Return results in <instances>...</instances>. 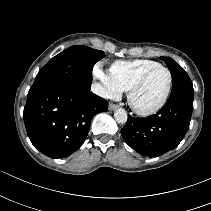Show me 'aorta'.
I'll list each match as a JSON object with an SVG mask.
<instances>
[{
	"label": "aorta",
	"mask_w": 211,
	"mask_h": 211,
	"mask_svg": "<svg viewBox=\"0 0 211 211\" xmlns=\"http://www.w3.org/2000/svg\"><path fill=\"white\" fill-rule=\"evenodd\" d=\"M114 118L118 123L124 124L127 121V112L122 108H118L114 113Z\"/></svg>",
	"instance_id": "obj_1"
}]
</instances>
